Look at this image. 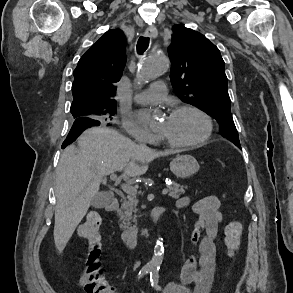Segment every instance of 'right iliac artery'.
I'll return each instance as SVG.
<instances>
[{
	"mask_svg": "<svg viewBox=\"0 0 293 293\" xmlns=\"http://www.w3.org/2000/svg\"><path fill=\"white\" fill-rule=\"evenodd\" d=\"M150 271H151V269L148 267L142 268L138 274V279H140L143 275L149 273Z\"/></svg>",
	"mask_w": 293,
	"mask_h": 293,
	"instance_id": "1",
	"label": "right iliac artery"
}]
</instances>
